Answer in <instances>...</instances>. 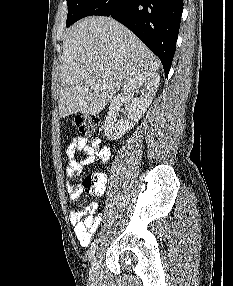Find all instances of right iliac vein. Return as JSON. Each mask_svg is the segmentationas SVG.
Listing matches in <instances>:
<instances>
[{
  "mask_svg": "<svg viewBox=\"0 0 233 286\" xmlns=\"http://www.w3.org/2000/svg\"><path fill=\"white\" fill-rule=\"evenodd\" d=\"M89 279L92 283H95L98 280V262L95 257L93 258L92 265L90 268Z\"/></svg>",
  "mask_w": 233,
  "mask_h": 286,
  "instance_id": "1",
  "label": "right iliac vein"
}]
</instances>
